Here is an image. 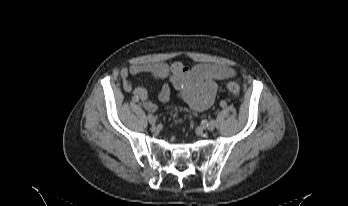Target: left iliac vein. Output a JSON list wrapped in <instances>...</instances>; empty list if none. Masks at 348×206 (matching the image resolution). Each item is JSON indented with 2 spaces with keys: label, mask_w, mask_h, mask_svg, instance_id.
<instances>
[{
  "label": "left iliac vein",
  "mask_w": 348,
  "mask_h": 206,
  "mask_svg": "<svg viewBox=\"0 0 348 206\" xmlns=\"http://www.w3.org/2000/svg\"><path fill=\"white\" fill-rule=\"evenodd\" d=\"M215 127H216V121H215L214 119H212V120H210V121L208 122L206 128H207L209 131H212V130L215 129Z\"/></svg>",
  "instance_id": "4c4485c4"
}]
</instances>
